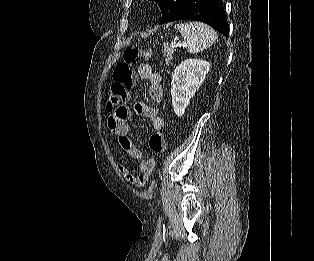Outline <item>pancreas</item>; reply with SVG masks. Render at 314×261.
<instances>
[{
	"label": "pancreas",
	"instance_id": "pancreas-1",
	"mask_svg": "<svg viewBox=\"0 0 314 261\" xmlns=\"http://www.w3.org/2000/svg\"><path fill=\"white\" fill-rule=\"evenodd\" d=\"M175 49L169 43L164 45L163 53L164 57L166 58V64L169 65L172 59V54L174 53Z\"/></svg>",
	"mask_w": 314,
	"mask_h": 261
}]
</instances>
